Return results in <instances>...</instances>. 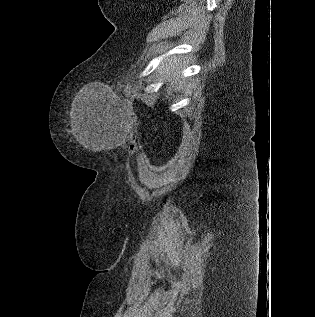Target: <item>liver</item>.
<instances>
[{
  "label": "liver",
  "instance_id": "6515ba94",
  "mask_svg": "<svg viewBox=\"0 0 315 317\" xmlns=\"http://www.w3.org/2000/svg\"><path fill=\"white\" fill-rule=\"evenodd\" d=\"M180 71V60L175 58H171L168 60V63H163L159 68L158 72L162 76H166V79L170 83V86L167 88V94L172 95V91L180 92L183 90L184 84L183 81L178 79V72ZM77 116L74 115L73 117V131L75 133H79L80 126L79 121L77 120ZM79 142L83 145H87L86 141L83 138H78Z\"/></svg>",
  "mask_w": 315,
  "mask_h": 317
}]
</instances>
